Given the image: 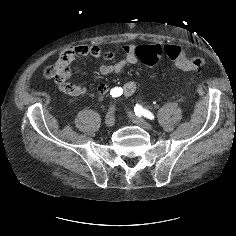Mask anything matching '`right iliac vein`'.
I'll return each instance as SVG.
<instances>
[{
	"instance_id": "1",
	"label": "right iliac vein",
	"mask_w": 236,
	"mask_h": 236,
	"mask_svg": "<svg viewBox=\"0 0 236 236\" xmlns=\"http://www.w3.org/2000/svg\"><path fill=\"white\" fill-rule=\"evenodd\" d=\"M114 112H115V107L111 106L105 118V124L108 128H111L114 126V122H115Z\"/></svg>"
}]
</instances>
